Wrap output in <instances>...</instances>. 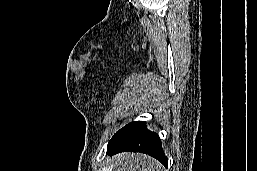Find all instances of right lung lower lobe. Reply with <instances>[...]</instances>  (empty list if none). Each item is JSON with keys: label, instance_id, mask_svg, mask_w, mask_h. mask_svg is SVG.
Wrapping results in <instances>:
<instances>
[{"label": "right lung lower lobe", "instance_id": "obj_1", "mask_svg": "<svg viewBox=\"0 0 257 171\" xmlns=\"http://www.w3.org/2000/svg\"><path fill=\"white\" fill-rule=\"evenodd\" d=\"M141 152L159 160L165 167L168 159L165 156L157 133L147 129L145 122L133 121L120 129L109 141L107 153Z\"/></svg>", "mask_w": 257, "mask_h": 171}]
</instances>
